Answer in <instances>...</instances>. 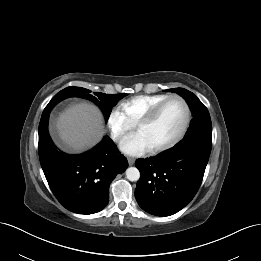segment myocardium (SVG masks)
<instances>
[{
	"instance_id": "myocardium-1",
	"label": "myocardium",
	"mask_w": 261,
	"mask_h": 261,
	"mask_svg": "<svg viewBox=\"0 0 261 261\" xmlns=\"http://www.w3.org/2000/svg\"><path fill=\"white\" fill-rule=\"evenodd\" d=\"M172 101H178L183 106L184 121L182 127L180 128L176 136L169 142L157 147L150 148V152L152 153H160L171 149L183 139L189 129L191 123V109L187 101L180 95H170L169 97L158 103L156 106H154L141 120L137 122L136 129L138 130L140 127L151 124L153 121H155L163 108Z\"/></svg>"
}]
</instances>
